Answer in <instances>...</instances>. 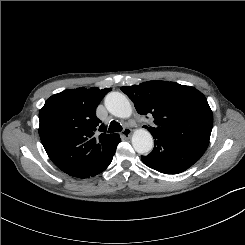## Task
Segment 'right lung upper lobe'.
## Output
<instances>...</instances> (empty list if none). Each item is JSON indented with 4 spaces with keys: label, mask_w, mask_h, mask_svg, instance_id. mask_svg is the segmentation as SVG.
Wrapping results in <instances>:
<instances>
[{
    "label": "right lung upper lobe",
    "mask_w": 245,
    "mask_h": 245,
    "mask_svg": "<svg viewBox=\"0 0 245 245\" xmlns=\"http://www.w3.org/2000/svg\"><path fill=\"white\" fill-rule=\"evenodd\" d=\"M111 90L84 87L52 95L39 113V135L52 162L63 172L89 178L106 168L120 141L118 134H106L95 110ZM102 132L95 137V131Z\"/></svg>",
    "instance_id": "cb5924a9"
}]
</instances>
